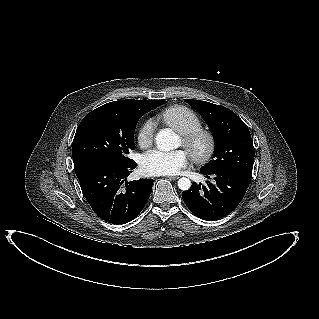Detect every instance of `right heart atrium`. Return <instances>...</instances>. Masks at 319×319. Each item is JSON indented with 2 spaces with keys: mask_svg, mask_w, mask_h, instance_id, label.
I'll use <instances>...</instances> for the list:
<instances>
[{
  "mask_svg": "<svg viewBox=\"0 0 319 319\" xmlns=\"http://www.w3.org/2000/svg\"><path fill=\"white\" fill-rule=\"evenodd\" d=\"M154 123L152 120L144 121L137 131V142L139 146L149 147L153 141Z\"/></svg>",
  "mask_w": 319,
  "mask_h": 319,
  "instance_id": "right-heart-atrium-1",
  "label": "right heart atrium"
}]
</instances>
